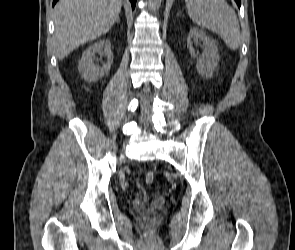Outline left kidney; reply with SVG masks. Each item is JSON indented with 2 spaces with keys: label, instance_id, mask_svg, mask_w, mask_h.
<instances>
[{
  "label": "left kidney",
  "instance_id": "left-kidney-1",
  "mask_svg": "<svg viewBox=\"0 0 295 250\" xmlns=\"http://www.w3.org/2000/svg\"><path fill=\"white\" fill-rule=\"evenodd\" d=\"M198 39L203 42L204 51L202 55L198 57L197 71L202 76L211 77L219 63L217 42L207 36L202 30L195 27L192 28L188 34L187 47L193 57H195L196 54L192 40L196 41Z\"/></svg>",
  "mask_w": 295,
  "mask_h": 250
}]
</instances>
